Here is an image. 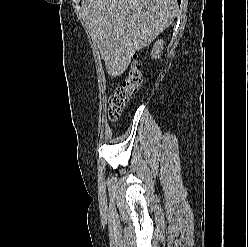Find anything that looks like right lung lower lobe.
Here are the masks:
<instances>
[{
    "label": "right lung lower lobe",
    "instance_id": "obj_1",
    "mask_svg": "<svg viewBox=\"0 0 248 247\" xmlns=\"http://www.w3.org/2000/svg\"><path fill=\"white\" fill-rule=\"evenodd\" d=\"M178 1V4H180L181 0H177Z\"/></svg>",
    "mask_w": 248,
    "mask_h": 247
}]
</instances>
